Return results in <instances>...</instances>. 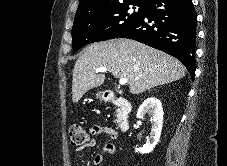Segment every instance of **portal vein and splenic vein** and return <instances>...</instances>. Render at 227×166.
<instances>
[{"label":"portal vein and splenic vein","mask_w":227,"mask_h":166,"mask_svg":"<svg viewBox=\"0 0 227 166\" xmlns=\"http://www.w3.org/2000/svg\"><path fill=\"white\" fill-rule=\"evenodd\" d=\"M107 71V68L106 67H100L97 69V72H106ZM127 83V79L126 78H121L119 80V84L120 85H125Z\"/></svg>","instance_id":"portal-vein-and-splenic-vein-1"}]
</instances>
